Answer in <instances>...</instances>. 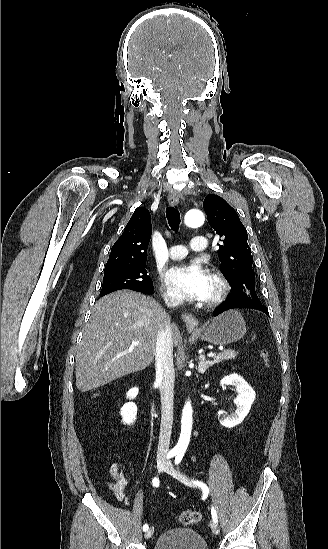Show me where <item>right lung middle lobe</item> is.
<instances>
[{
	"label": "right lung middle lobe",
	"instance_id": "dd1d6c3e",
	"mask_svg": "<svg viewBox=\"0 0 328 549\" xmlns=\"http://www.w3.org/2000/svg\"><path fill=\"white\" fill-rule=\"evenodd\" d=\"M121 289H130L144 294L154 290L153 282L147 274L146 262L104 272L100 296Z\"/></svg>",
	"mask_w": 328,
	"mask_h": 549
}]
</instances>
